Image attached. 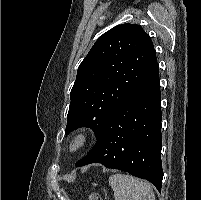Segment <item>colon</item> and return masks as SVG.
<instances>
[{
    "label": "colon",
    "instance_id": "5ec220e1",
    "mask_svg": "<svg viewBox=\"0 0 201 200\" xmlns=\"http://www.w3.org/2000/svg\"><path fill=\"white\" fill-rule=\"evenodd\" d=\"M88 200H103L102 197L96 193V192H92L89 197Z\"/></svg>",
    "mask_w": 201,
    "mask_h": 200
}]
</instances>
